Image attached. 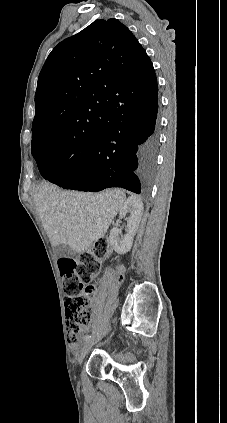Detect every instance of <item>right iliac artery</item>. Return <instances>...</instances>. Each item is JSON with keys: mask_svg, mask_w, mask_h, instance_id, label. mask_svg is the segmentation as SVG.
Wrapping results in <instances>:
<instances>
[{"mask_svg": "<svg viewBox=\"0 0 227 423\" xmlns=\"http://www.w3.org/2000/svg\"><path fill=\"white\" fill-rule=\"evenodd\" d=\"M91 338V336L89 335V334H86L85 336H84V340H89Z\"/></svg>", "mask_w": 227, "mask_h": 423, "instance_id": "1", "label": "right iliac artery"}]
</instances>
